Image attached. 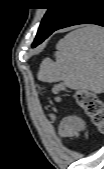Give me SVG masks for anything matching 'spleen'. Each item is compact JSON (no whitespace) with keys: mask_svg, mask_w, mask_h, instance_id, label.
<instances>
[{"mask_svg":"<svg viewBox=\"0 0 104 169\" xmlns=\"http://www.w3.org/2000/svg\"><path fill=\"white\" fill-rule=\"evenodd\" d=\"M55 61L46 58L40 65L38 79L44 82L63 81L73 90L104 91V30L85 26L61 39Z\"/></svg>","mask_w":104,"mask_h":169,"instance_id":"3e777b00","label":"spleen"}]
</instances>
